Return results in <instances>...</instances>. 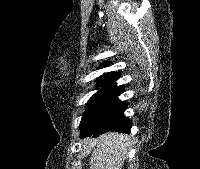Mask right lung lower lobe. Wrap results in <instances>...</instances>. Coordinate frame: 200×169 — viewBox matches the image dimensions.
<instances>
[{"instance_id":"98d812e1","label":"right lung lower lobe","mask_w":200,"mask_h":169,"mask_svg":"<svg viewBox=\"0 0 200 169\" xmlns=\"http://www.w3.org/2000/svg\"><path fill=\"white\" fill-rule=\"evenodd\" d=\"M124 87L115 86L108 101L80 128L81 137L99 136L108 131L129 133L131 121L124 115L127 103L118 99Z\"/></svg>"}]
</instances>
